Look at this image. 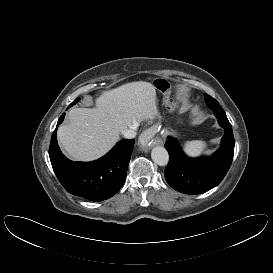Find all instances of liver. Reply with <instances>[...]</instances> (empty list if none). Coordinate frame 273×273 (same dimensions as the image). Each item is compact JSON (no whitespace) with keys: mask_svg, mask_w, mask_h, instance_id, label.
Instances as JSON below:
<instances>
[{"mask_svg":"<svg viewBox=\"0 0 273 273\" xmlns=\"http://www.w3.org/2000/svg\"><path fill=\"white\" fill-rule=\"evenodd\" d=\"M95 108H73L69 123L57 131L58 141L73 160L92 161L105 155L119 134L159 115L156 90L144 81L103 92Z\"/></svg>","mask_w":273,"mask_h":273,"instance_id":"liver-1","label":"liver"}]
</instances>
